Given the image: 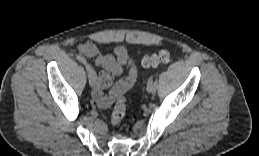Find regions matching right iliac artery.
Instances as JSON below:
<instances>
[{
    "mask_svg": "<svg viewBox=\"0 0 259 156\" xmlns=\"http://www.w3.org/2000/svg\"><path fill=\"white\" fill-rule=\"evenodd\" d=\"M77 59L81 62V63H83L86 67L87 66H89L88 65V63H87V61H86V59L82 56V55H77Z\"/></svg>",
    "mask_w": 259,
    "mask_h": 156,
    "instance_id": "obj_1",
    "label": "right iliac artery"
}]
</instances>
